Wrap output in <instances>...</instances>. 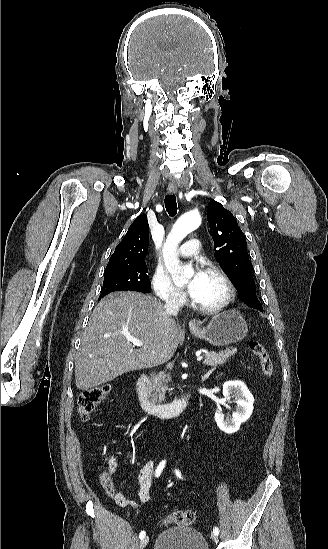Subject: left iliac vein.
I'll return each mask as SVG.
<instances>
[{
    "instance_id": "1",
    "label": "left iliac vein",
    "mask_w": 328,
    "mask_h": 549,
    "mask_svg": "<svg viewBox=\"0 0 328 549\" xmlns=\"http://www.w3.org/2000/svg\"><path fill=\"white\" fill-rule=\"evenodd\" d=\"M212 540L215 541V542H218V536L215 535V534H212Z\"/></svg>"
}]
</instances>
